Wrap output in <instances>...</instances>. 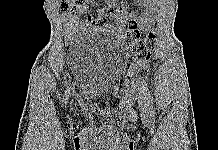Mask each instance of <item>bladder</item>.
<instances>
[{"label": "bladder", "instance_id": "1", "mask_svg": "<svg viewBox=\"0 0 218 150\" xmlns=\"http://www.w3.org/2000/svg\"><path fill=\"white\" fill-rule=\"evenodd\" d=\"M77 54L80 62L76 68L81 93L98 103H108L120 97L121 90L110 85L109 76L100 67H114L119 60L116 42L106 34H93L84 38ZM118 81L126 88L130 82L128 75H120Z\"/></svg>", "mask_w": 218, "mask_h": 150}]
</instances>
